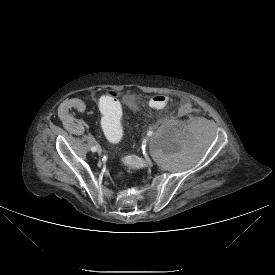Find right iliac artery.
I'll use <instances>...</instances> for the list:
<instances>
[{
  "instance_id": "82829eb1",
  "label": "right iliac artery",
  "mask_w": 275,
  "mask_h": 275,
  "mask_svg": "<svg viewBox=\"0 0 275 275\" xmlns=\"http://www.w3.org/2000/svg\"><path fill=\"white\" fill-rule=\"evenodd\" d=\"M97 148H98V145H96L95 147L93 146V147L91 148V151H92V152H95V151L97 150Z\"/></svg>"
}]
</instances>
